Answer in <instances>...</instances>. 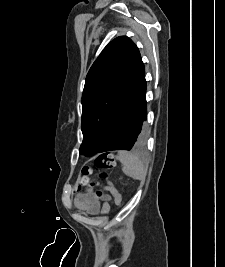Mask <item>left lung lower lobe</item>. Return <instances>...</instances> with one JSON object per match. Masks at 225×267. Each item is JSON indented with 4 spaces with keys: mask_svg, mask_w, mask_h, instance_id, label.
<instances>
[{
    "mask_svg": "<svg viewBox=\"0 0 225 267\" xmlns=\"http://www.w3.org/2000/svg\"><path fill=\"white\" fill-rule=\"evenodd\" d=\"M145 68L138 64L123 96L115 127L100 152L130 150L137 145L147 120Z\"/></svg>",
    "mask_w": 225,
    "mask_h": 267,
    "instance_id": "1",
    "label": "left lung lower lobe"
}]
</instances>
